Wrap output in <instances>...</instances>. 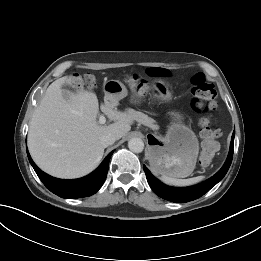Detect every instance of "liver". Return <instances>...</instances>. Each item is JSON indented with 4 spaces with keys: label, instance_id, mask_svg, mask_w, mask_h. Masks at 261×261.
Masks as SVG:
<instances>
[{
    "label": "liver",
    "instance_id": "1",
    "mask_svg": "<svg viewBox=\"0 0 261 261\" xmlns=\"http://www.w3.org/2000/svg\"><path fill=\"white\" fill-rule=\"evenodd\" d=\"M73 80V76L62 77L50 84L28 132V148L35 163L46 173L67 179L92 172L104 154L101 137L112 134L120 139L133 123L129 115L105 99L100 109L114 123L99 125V104L94 92L62 89Z\"/></svg>",
    "mask_w": 261,
    "mask_h": 261
}]
</instances>
